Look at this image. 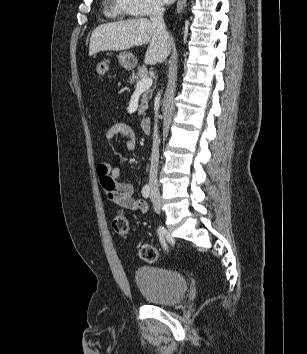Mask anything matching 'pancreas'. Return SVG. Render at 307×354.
I'll return each mask as SVG.
<instances>
[{"instance_id":"1","label":"pancreas","mask_w":307,"mask_h":354,"mask_svg":"<svg viewBox=\"0 0 307 354\" xmlns=\"http://www.w3.org/2000/svg\"><path fill=\"white\" fill-rule=\"evenodd\" d=\"M144 78H149V73L147 71V68L145 66L138 67V70L135 72H132L131 77H130V83H137L138 81L144 79ZM149 94L150 90L146 91L141 98V105L138 109V114L145 115V110L148 108V101H149Z\"/></svg>"}]
</instances>
